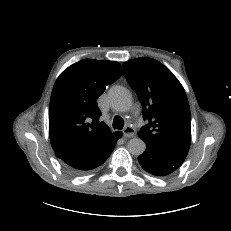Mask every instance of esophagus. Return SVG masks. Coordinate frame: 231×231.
Returning a JSON list of instances; mask_svg holds the SVG:
<instances>
[{
  "label": "esophagus",
  "mask_w": 231,
  "mask_h": 231,
  "mask_svg": "<svg viewBox=\"0 0 231 231\" xmlns=\"http://www.w3.org/2000/svg\"><path fill=\"white\" fill-rule=\"evenodd\" d=\"M136 133V130L131 126H126L123 130V135L125 137H133Z\"/></svg>",
  "instance_id": "34e87169"
}]
</instances>
